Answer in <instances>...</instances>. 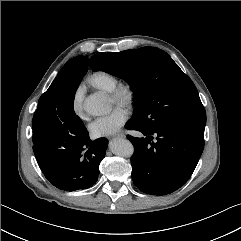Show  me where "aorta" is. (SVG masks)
<instances>
[{
  "mask_svg": "<svg viewBox=\"0 0 241 241\" xmlns=\"http://www.w3.org/2000/svg\"><path fill=\"white\" fill-rule=\"evenodd\" d=\"M83 108L90 115L101 116L110 111V104L105 95L94 93L85 99ZM110 149L115 155L121 157H130L134 153L133 144L129 140L122 138L111 141Z\"/></svg>",
  "mask_w": 241,
  "mask_h": 241,
  "instance_id": "1",
  "label": "aorta"
}]
</instances>
